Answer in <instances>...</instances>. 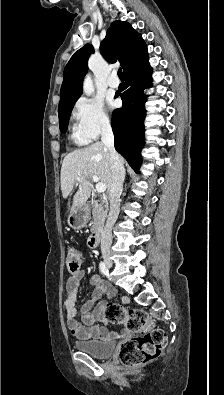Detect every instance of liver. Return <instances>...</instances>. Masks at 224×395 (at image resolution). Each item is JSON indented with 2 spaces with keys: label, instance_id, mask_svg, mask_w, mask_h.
<instances>
[{
  "label": "liver",
  "instance_id": "6515ba94",
  "mask_svg": "<svg viewBox=\"0 0 224 395\" xmlns=\"http://www.w3.org/2000/svg\"><path fill=\"white\" fill-rule=\"evenodd\" d=\"M124 163V159L121 158ZM97 175L100 183L109 190L112 182L110 154L102 142H95L82 149H77L65 156L61 167V191L67 198L74 186L78 190L73 196L70 213L86 203L91 195V179ZM80 177L78 182L76 179Z\"/></svg>",
  "mask_w": 224,
  "mask_h": 395
}]
</instances>
